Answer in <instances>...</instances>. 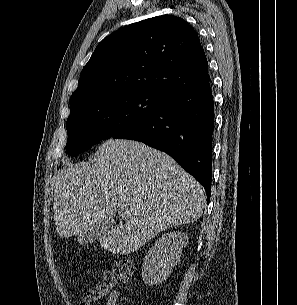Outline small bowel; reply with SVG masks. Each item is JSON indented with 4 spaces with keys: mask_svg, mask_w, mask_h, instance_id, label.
<instances>
[{
    "mask_svg": "<svg viewBox=\"0 0 297 305\" xmlns=\"http://www.w3.org/2000/svg\"><path fill=\"white\" fill-rule=\"evenodd\" d=\"M115 284V277L111 273H105L100 284L87 290L80 305H92L101 299H105L104 305H118L121 292L114 289Z\"/></svg>",
    "mask_w": 297,
    "mask_h": 305,
    "instance_id": "1",
    "label": "small bowel"
}]
</instances>
